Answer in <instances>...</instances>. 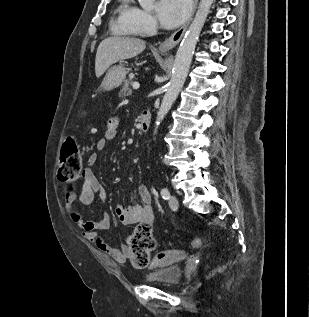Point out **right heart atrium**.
<instances>
[{
    "instance_id": "1",
    "label": "right heart atrium",
    "mask_w": 309,
    "mask_h": 317,
    "mask_svg": "<svg viewBox=\"0 0 309 317\" xmlns=\"http://www.w3.org/2000/svg\"><path fill=\"white\" fill-rule=\"evenodd\" d=\"M133 20L135 26L141 31H150L156 28V20L154 16L142 9H136Z\"/></svg>"
}]
</instances>
